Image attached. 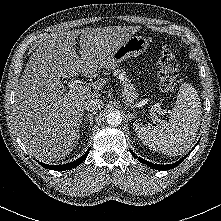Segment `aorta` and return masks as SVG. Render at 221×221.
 I'll list each match as a JSON object with an SVG mask.
<instances>
[{
    "label": "aorta",
    "instance_id": "762f6f07",
    "mask_svg": "<svg viewBox=\"0 0 221 221\" xmlns=\"http://www.w3.org/2000/svg\"><path fill=\"white\" fill-rule=\"evenodd\" d=\"M109 125L119 126L122 123V114L119 110H112L106 116Z\"/></svg>",
    "mask_w": 221,
    "mask_h": 221
}]
</instances>
